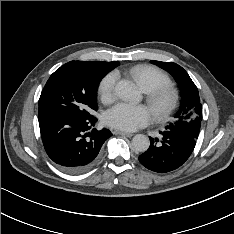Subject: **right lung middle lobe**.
I'll return each mask as SVG.
<instances>
[{"label": "right lung middle lobe", "mask_w": 234, "mask_h": 234, "mask_svg": "<svg viewBox=\"0 0 234 234\" xmlns=\"http://www.w3.org/2000/svg\"><path fill=\"white\" fill-rule=\"evenodd\" d=\"M106 75L74 63L57 69L45 84L39 99V116L51 115L92 118L97 111L96 91Z\"/></svg>", "instance_id": "obj_1"}]
</instances>
